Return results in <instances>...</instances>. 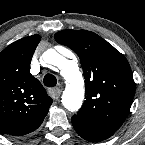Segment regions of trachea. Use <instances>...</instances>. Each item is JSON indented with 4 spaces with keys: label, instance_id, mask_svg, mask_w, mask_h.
Segmentation results:
<instances>
[{
    "label": "trachea",
    "instance_id": "1",
    "mask_svg": "<svg viewBox=\"0 0 145 145\" xmlns=\"http://www.w3.org/2000/svg\"><path fill=\"white\" fill-rule=\"evenodd\" d=\"M43 82H44V85H45L46 87L52 88V87H55V86H56V84H57V79H56V77H55L54 75H52V74H46V75L44 76Z\"/></svg>",
    "mask_w": 145,
    "mask_h": 145
}]
</instances>
